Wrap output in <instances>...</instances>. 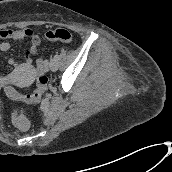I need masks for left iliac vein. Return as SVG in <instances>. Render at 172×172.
I'll return each instance as SVG.
<instances>
[{
    "instance_id": "obj_1",
    "label": "left iliac vein",
    "mask_w": 172,
    "mask_h": 172,
    "mask_svg": "<svg viewBox=\"0 0 172 172\" xmlns=\"http://www.w3.org/2000/svg\"><path fill=\"white\" fill-rule=\"evenodd\" d=\"M49 69L51 71H56L57 70V60H55L54 58L50 60L49 62Z\"/></svg>"
}]
</instances>
